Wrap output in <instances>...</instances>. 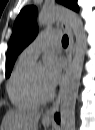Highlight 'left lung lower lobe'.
I'll return each instance as SVG.
<instances>
[{"label": "left lung lower lobe", "instance_id": "0a47b994", "mask_svg": "<svg viewBox=\"0 0 95 130\" xmlns=\"http://www.w3.org/2000/svg\"><path fill=\"white\" fill-rule=\"evenodd\" d=\"M55 120H56L58 123L60 122V118H59V115H58V114L55 115Z\"/></svg>", "mask_w": 95, "mask_h": 130}]
</instances>
